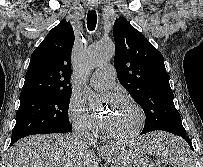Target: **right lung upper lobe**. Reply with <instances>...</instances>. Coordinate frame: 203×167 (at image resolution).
Masks as SVG:
<instances>
[{
	"label": "right lung upper lobe",
	"instance_id": "cb5924a9",
	"mask_svg": "<svg viewBox=\"0 0 203 167\" xmlns=\"http://www.w3.org/2000/svg\"><path fill=\"white\" fill-rule=\"evenodd\" d=\"M73 44V28L69 22L62 20L32 53L20 101L72 91L70 78Z\"/></svg>",
	"mask_w": 203,
	"mask_h": 167
}]
</instances>
